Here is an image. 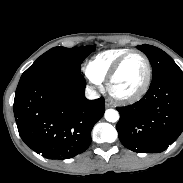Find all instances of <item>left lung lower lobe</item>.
<instances>
[{
  "label": "left lung lower lobe",
  "instance_id": "left-lung-lower-lobe-1",
  "mask_svg": "<svg viewBox=\"0 0 183 183\" xmlns=\"http://www.w3.org/2000/svg\"><path fill=\"white\" fill-rule=\"evenodd\" d=\"M117 110L116 128L126 148L138 153L166 150L183 131V72L179 69L152 79L141 100Z\"/></svg>",
  "mask_w": 183,
  "mask_h": 183
}]
</instances>
